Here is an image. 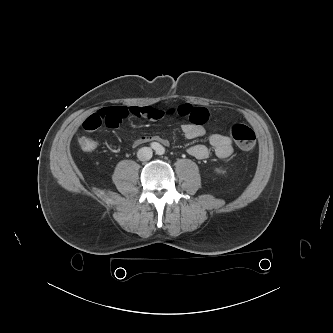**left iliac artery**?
Returning a JSON list of instances; mask_svg holds the SVG:
<instances>
[{"instance_id": "44dca946", "label": "left iliac artery", "mask_w": 333, "mask_h": 333, "mask_svg": "<svg viewBox=\"0 0 333 333\" xmlns=\"http://www.w3.org/2000/svg\"><path fill=\"white\" fill-rule=\"evenodd\" d=\"M164 153V149L162 148V147H160L159 149H158V154H163Z\"/></svg>"}]
</instances>
